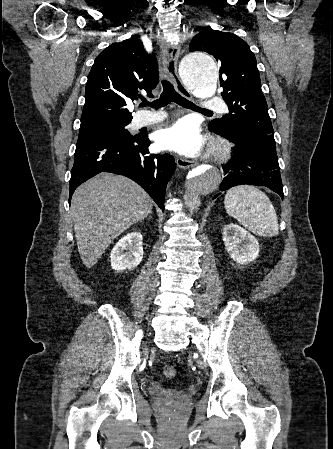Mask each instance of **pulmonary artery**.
Listing matches in <instances>:
<instances>
[{
    "label": "pulmonary artery",
    "instance_id": "e3ab8cb5",
    "mask_svg": "<svg viewBox=\"0 0 333 449\" xmlns=\"http://www.w3.org/2000/svg\"><path fill=\"white\" fill-rule=\"evenodd\" d=\"M200 107L203 109H224V102L222 99L218 97H210L205 99L201 104ZM164 118V115L162 113H153V112H143L140 114L136 120L135 124L138 127L150 125L156 122L161 121Z\"/></svg>",
    "mask_w": 333,
    "mask_h": 449
}]
</instances>
